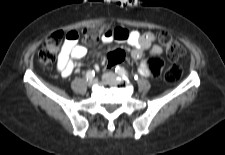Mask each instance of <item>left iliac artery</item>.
Here are the masks:
<instances>
[{
  "mask_svg": "<svg viewBox=\"0 0 225 155\" xmlns=\"http://www.w3.org/2000/svg\"><path fill=\"white\" fill-rule=\"evenodd\" d=\"M115 72L124 78L129 77L128 72L123 67L117 66Z\"/></svg>",
  "mask_w": 225,
  "mask_h": 155,
  "instance_id": "44dca946",
  "label": "left iliac artery"
}]
</instances>
